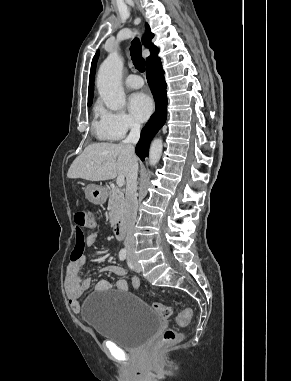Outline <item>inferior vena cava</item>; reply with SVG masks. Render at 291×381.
<instances>
[{
    "label": "inferior vena cava",
    "mask_w": 291,
    "mask_h": 381,
    "mask_svg": "<svg viewBox=\"0 0 291 381\" xmlns=\"http://www.w3.org/2000/svg\"><path fill=\"white\" fill-rule=\"evenodd\" d=\"M140 138V124L133 122L131 124V131L122 144L132 154L133 162L130 171L127 175L126 185V203H125V218H126V238L124 246L128 254L134 253V225L136 222L138 200H137V176H138V163L134 152V145Z\"/></svg>",
    "instance_id": "obj_1"
}]
</instances>
